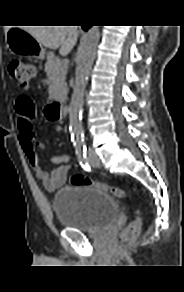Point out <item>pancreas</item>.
Returning a JSON list of instances; mask_svg holds the SVG:
<instances>
[{"mask_svg": "<svg viewBox=\"0 0 184 292\" xmlns=\"http://www.w3.org/2000/svg\"><path fill=\"white\" fill-rule=\"evenodd\" d=\"M45 71L49 78V94L51 97L61 99L67 94L65 82L67 68H64L63 61L56 58L53 52H49Z\"/></svg>", "mask_w": 184, "mask_h": 292, "instance_id": "pancreas-1", "label": "pancreas"}]
</instances>
